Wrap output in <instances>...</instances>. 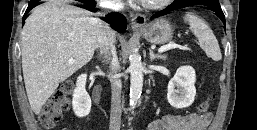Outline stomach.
<instances>
[{
	"label": "stomach",
	"instance_id": "1",
	"mask_svg": "<svg viewBox=\"0 0 257 130\" xmlns=\"http://www.w3.org/2000/svg\"><path fill=\"white\" fill-rule=\"evenodd\" d=\"M140 32L144 39L152 44H164L173 38L174 27L165 19H157L144 25Z\"/></svg>",
	"mask_w": 257,
	"mask_h": 130
}]
</instances>
